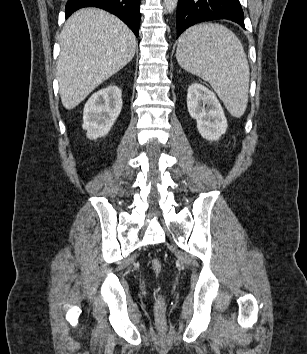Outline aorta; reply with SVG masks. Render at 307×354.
<instances>
[{
    "instance_id": "obj_1",
    "label": "aorta",
    "mask_w": 307,
    "mask_h": 354,
    "mask_svg": "<svg viewBox=\"0 0 307 354\" xmlns=\"http://www.w3.org/2000/svg\"><path fill=\"white\" fill-rule=\"evenodd\" d=\"M178 4V0H164V6L167 12L172 13Z\"/></svg>"
}]
</instances>
